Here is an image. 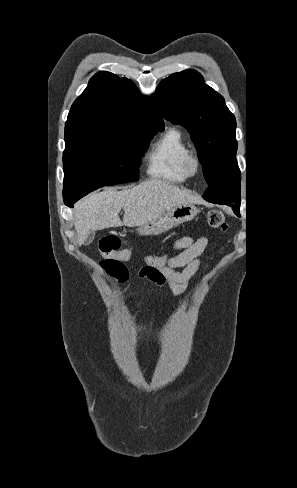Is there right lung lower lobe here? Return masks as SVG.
<instances>
[{
    "label": "right lung lower lobe",
    "mask_w": 297,
    "mask_h": 488,
    "mask_svg": "<svg viewBox=\"0 0 297 488\" xmlns=\"http://www.w3.org/2000/svg\"><path fill=\"white\" fill-rule=\"evenodd\" d=\"M68 207H73V205H67Z\"/></svg>",
    "instance_id": "obj_1"
}]
</instances>
